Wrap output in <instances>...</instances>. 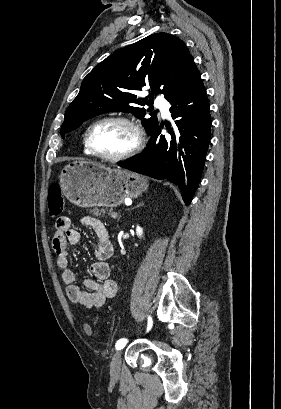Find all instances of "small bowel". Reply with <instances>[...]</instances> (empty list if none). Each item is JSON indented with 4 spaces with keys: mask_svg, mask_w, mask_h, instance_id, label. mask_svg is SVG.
<instances>
[{
    "mask_svg": "<svg viewBox=\"0 0 281 409\" xmlns=\"http://www.w3.org/2000/svg\"><path fill=\"white\" fill-rule=\"evenodd\" d=\"M82 223L91 227L96 236L94 248L96 261L90 268L95 278L84 280V286L87 290L76 285L77 274L70 268L68 246L80 244L81 237L78 231L72 229L68 217L63 216L56 220L52 247L57 256V266L61 271V279L66 285L68 299L74 304L83 305L89 309H100L108 299L115 297L118 291L117 282L112 279V270L108 263L114 248L110 234L102 221L85 216L82 218Z\"/></svg>",
    "mask_w": 281,
    "mask_h": 409,
    "instance_id": "obj_1",
    "label": "small bowel"
}]
</instances>
